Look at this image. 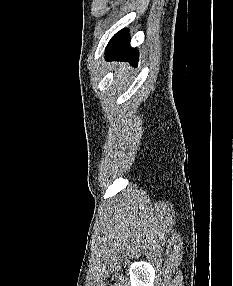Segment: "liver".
Returning a JSON list of instances; mask_svg holds the SVG:
<instances>
[{"label": "liver", "instance_id": "liver-1", "mask_svg": "<svg viewBox=\"0 0 233 286\" xmlns=\"http://www.w3.org/2000/svg\"><path fill=\"white\" fill-rule=\"evenodd\" d=\"M124 69H126V64H120L119 68L117 69V75L120 77V79L123 78L122 71H124Z\"/></svg>", "mask_w": 233, "mask_h": 286}]
</instances>
